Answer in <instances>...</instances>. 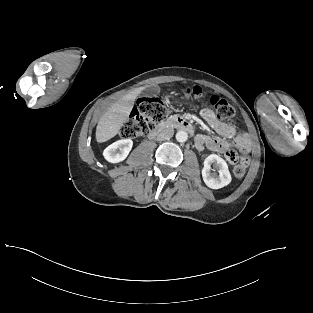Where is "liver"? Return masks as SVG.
I'll return each mask as SVG.
<instances>
[{
  "mask_svg": "<svg viewBox=\"0 0 313 313\" xmlns=\"http://www.w3.org/2000/svg\"><path fill=\"white\" fill-rule=\"evenodd\" d=\"M144 88L145 87H139L132 90L104 112L96 127L95 136L97 142H105L120 131L123 123H125L129 117L136 97Z\"/></svg>",
  "mask_w": 313,
  "mask_h": 313,
  "instance_id": "1",
  "label": "liver"
}]
</instances>
